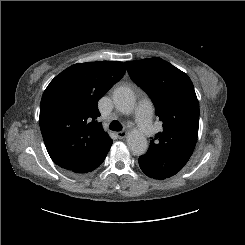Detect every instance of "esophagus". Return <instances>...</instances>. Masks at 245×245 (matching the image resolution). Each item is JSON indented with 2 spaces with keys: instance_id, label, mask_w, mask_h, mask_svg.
Instances as JSON below:
<instances>
[{
  "instance_id": "34e87169",
  "label": "esophagus",
  "mask_w": 245,
  "mask_h": 245,
  "mask_svg": "<svg viewBox=\"0 0 245 245\" xmlns=\"http://www.w3.org/2000/svg\"><path fill=\"white\" fill-rule=\"evenodd\" d=\"M117 136L119 139H123L127 136V132H125V131L117 132Z\"/></svg>"
}]
</instances>
